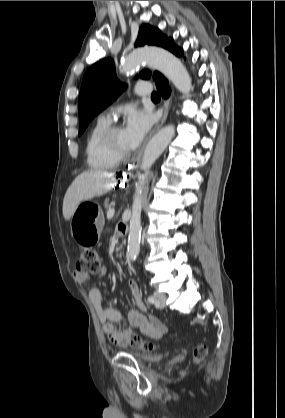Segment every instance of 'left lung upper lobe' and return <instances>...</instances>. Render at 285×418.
I'll return each mask as SVG.
<instances>
[{
  "instance_id": "1",
  "label": "left lung upper lobe",
  "mask_w": 285,
  "mask_h": 418,
  "mask_svg": "<svg viewBox=\"0 0 285 418\" xmlns=\"http://www.w3.org/2000/svg\"><path fill=\"white\" fill-rule=\"evenodd\" d=\"M156 45L169 50L173 44L171 38H167L158 28L150 25H142L139 29L135 46ZM161 75L153 73L156 80ZM140 77H151L149 70L140 73ZM124 86L119 83L115 74V64L111 58L102 59L93 64L85 73L78 100L80 119L79 135L84 132L91 119L110 105L123 91Z\"/></svg>"
}]
</instances>
